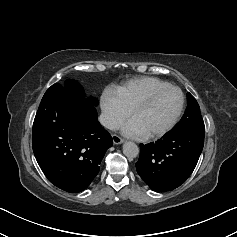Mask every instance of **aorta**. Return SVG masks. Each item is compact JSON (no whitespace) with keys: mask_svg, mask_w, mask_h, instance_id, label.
<instances>
[{"mask_svg":"<svg viewBox=\"0 0 237 237\" xmlns=\"http://www.w3.org/2000/svg\"><path fill=\"white\" fill-rule=\"evenodd\" d=\"M123 154L127 158H135L139 154V148L134 142H126L123 144Z\"/></svg>","mask_w":237,"mask_h":237,"instance_id":"1","label":"aorta"}]
</instances>
